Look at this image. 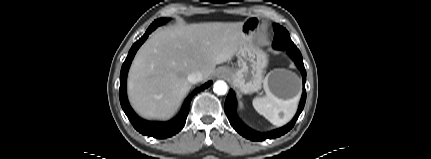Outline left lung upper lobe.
Instances as JSON below:
<instances>
[{
	"mask_svg": "<svg viewBox=\"0 0 431 159\" xmlns=\"http://www.w3.org/2000/svg\"><path fill=\"white\" fill-rule=\"evenodd\" d=\"M274 41H273V47L276 49L281 50H298V48L295 46V44L290 39V35L288 31L280 26L279 24H274Z\"/></svg>",
	"mask_w": 431,
	"mask_h": 159,
	"instance_id": "1",
	"label": "left lung upper lobe"
}]
</instances>
